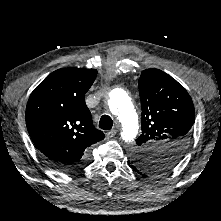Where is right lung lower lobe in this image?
I'll return each mask as SVG.
<instances>
[{
	"mask_svg": "<svg viewBox=\"0 0 221 221\" xmlns=\"http://www.w3.org/2000/svg\"><path fill=\"white\" fill-rule=\"evenodd\" d=\"M89 162V156L83 158L82 160L74 163H53L49 162L48 163L55 169L63 172H72L78 169L83 168L85 165H87Z\"/></svg>",
	"mask_w": 221,
	"mask_h": 221,
	"instance_id": "98d812e1",
	"label": "right lung lower lobe"
}]
</instances>
